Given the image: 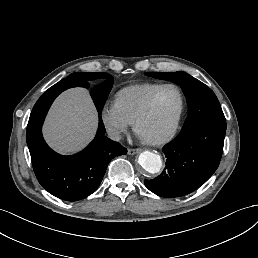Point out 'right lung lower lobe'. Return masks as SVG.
I'll use <instances>...</instances> for the list:
<instances>
[{
    "mask_svg": "<svg viewBox=\"0 0 258 258\" xmlns=\"http://www.w3.org/2000/svg\"><path fill=\"white\" fill-rule=\"evenodd\" d=\"M77 86L88 88L90 83L68 76L50 87L33 107L26 133L39 183L46 191L65 201L81 200L92 194L99 187L111 159L127 153L121 144L104 136L101 115L96 137L81 152L62 156L46 144L42 136V124L52 102L64 90ZM96 88L91 91L92 98Z\"/></svg>",
    "mask_w": 258,
    "mask_h": 258,
    "instance_id": "98d812e1",
    "label": "right lung lower lobe"
}]
</instances>
